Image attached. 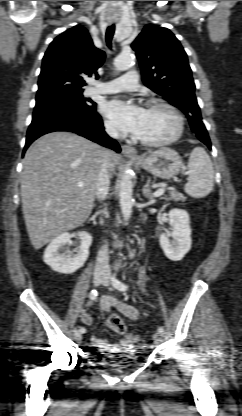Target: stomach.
I'll return each mask as SVG.
<instances>
[{"label": "stomach", "mask_w": 242, "mask_h": 416, "mask_svg": "<svg viewBox=\"0 0 242 416\" xmlns=\"http://www.w3.org/2000/svg\"><path fill=\"white\" fill-rule=\"evenodd\" d=\"M137 162L143 169L161 179H170L177 175L182 167L179 154L167 147L143 155Z\"/></svg>", "instance_id": "0dacf381"}]
</instances>
